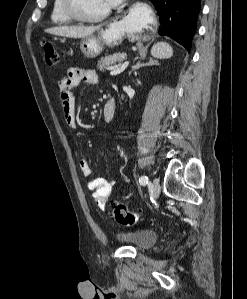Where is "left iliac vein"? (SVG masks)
Instances as JSON below:
<instances>
[{
	"mask_svg": "<svg viewBox=\"0 0 247 299\" xmlns=\"http://www.w3.org/2000/svg\"><path fill=\"white\" fill-rule=\"evenodd\" d=\"M150 189L153 197L156 199L160 193V185L157 179H153L152 183L150 184Z\"/></svg>",
	"mask_w": 247,
	"mask_h": 299,
	"instance_id": "obj_1",
	"label": "left iliac vein"
}]
</instances>
